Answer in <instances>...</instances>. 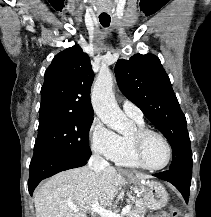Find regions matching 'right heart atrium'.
<instances>
[{"instance_id":"right-heart-atrium-1","label":"right heart atrium","mask_w":211,"mask_h":217,"mask_svg":"<svg viewBox=\"0 0 211 217\" xmlns=\"http://www.w3.org/2000/svg\"><path fill=\"white\" fill-rule=\"evenodd\" d=\"M88 137L91 148L108 160H113L120 146V136L95 118L89 128Z\"/></svg>"}]
</instances>
